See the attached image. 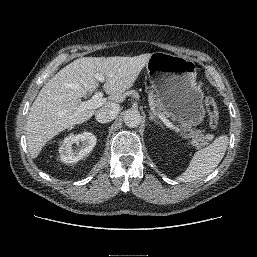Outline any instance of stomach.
Listing matches in <instances>:
<instances>
[{"label":"stomach","mask_w":257,"mask_h":257,"mask_svg":"<svg viewBox=\"0 0 257 257\" xmlns=\"http://www.w3.org/2000/svg\"><path fill=\"white\" fill-rule=\"evenodd\" d=\"M146 69L163 112L168 117L190 128L204 121V93L196 82L197 67L193 60L154 52Z\"/></svg>","instance_id":"obj_1"}]
</instances>
